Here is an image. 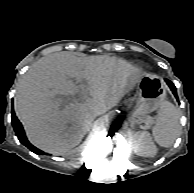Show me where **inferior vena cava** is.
Returning <instances> with one entry per match:
<instances>
[{
  "label": "inferior vena cava",
  "instance_id": "602c4592",
  "mask_svg": "<svg viewBox=\"0 0 194 193\" xmlns=\"http://www.w3.org/2000/svg\"><path fill=\"white\" fill-rule=\"evenodd\" d=\"M102 113H104V111H103L102 109H95V110L92 112L91 117H95V116L100 115V114H102Z\"/></svg>",
  "mask_w": 194,
  "mask_h": 193
}]
</instances>
